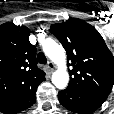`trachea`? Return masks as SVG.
<instances>
[{"label": "trachea", "mask_w": 114, "mask_h": 114, "mask_svg": "<svg viewBox=\"0 0 114 114\" xmlns=\"http://www.w3.org/2000/svg\"><path fill=\"white\" fill-rule=\"evenodd\" d=\"M37 60L40 64H46L47 63V58L42 52L38 53Z\"/></svg>", "instance_id": "obj_1"}]
</instances>
